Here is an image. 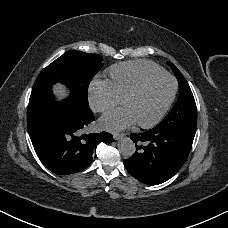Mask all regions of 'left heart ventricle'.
<instances>
[{
	"label": "left heart ventricle",
	"instance_id": "left-heart-ventricle-1",
	"mask_svg": "<svg viewBox=\"0 0 228 228\" xmlns=\"http://www.w3.org/2000/svg\"><path fill=\"white\" fill-rule=\"evenodd\" d=\"M171 87L172 83L169 79H158L141 94L129 100L126 105L138 122L147 123L161 110L170 94Z\"/></svg>",
	"mask_w": 228,
	"mask_h": 228
}]
</instances>
